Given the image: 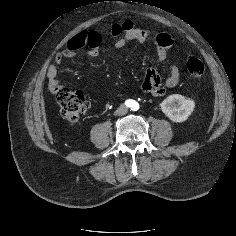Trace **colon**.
<instances>
[{
	"label": "colon",
	"instance_id": "1",
	"mask_svg": "<svg viewBox=\"0 0 236 236\" xmlns=\"http://www.w3.org/2000/svg\"><path fill=\"white\" fill-rule=\"evenodd\" d=\"M186 68L190 76L194 79H201L204 76L205 66L197 58H189L186 62ZM55 94L62 118L70 123L77 122L87 108L85 96L80 92L64 87L59 88Z\"/></svg>",
	"mask_w": 236,
	"mask_h": 236
}]
</instances>
